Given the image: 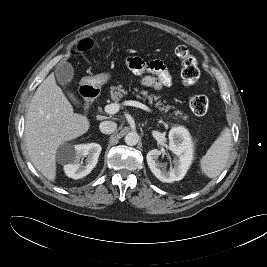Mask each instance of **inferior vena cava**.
I'll return each instance as SVG.
<instances>
[{"label":"inferior vena cava","instance_id":"1","mask_svg":"<svg viewBox=\"0 0 267 267\" xmlns=\"http://www.w3.org/2000/svg\"><path fill=\"white\" fill-rule=\"evenodd\" d=\"M99 129L103 134H111L117 129V124L113 121H103L100 123Z\"/></svg>","mask_w":267,"mask_h":267}]
</instances>
